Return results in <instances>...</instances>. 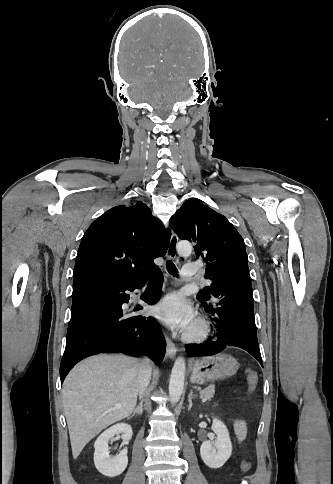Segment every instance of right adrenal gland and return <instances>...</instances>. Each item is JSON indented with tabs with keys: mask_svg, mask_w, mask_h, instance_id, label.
I'll list each match as a JSON object with an SVG mask.
<instances>
[{
	"mask_svg": "<svg viewBox=\"0 0 333 484\" xmlns=\"http://www.w3.org/2000/svg\"><path fill=\"white\" fill-rule=\"evenodd\" d=\"M143 407H144V404H143V399L141 397L140 398L139 405L135 408V410L133 411L132 415L128 419L132 418L135 414L142 415V413H143Z\"/></svg>",
	"mask_w": 333,
	"mask_h": 484,
	"instance_id": "2a0ac1e0",
	"label": "right adrenal gland"
}]
</instances>
